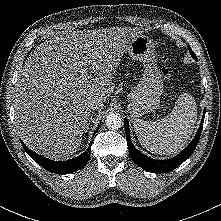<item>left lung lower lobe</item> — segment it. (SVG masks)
<instances>
[{"instance_id":"0a47b994","label":"left lung lower lobe","mask_w":221,"mask_h":221,"mask_svg":"<svg viewBox=\"0 0 221 221\" xmlns=\"http://www.w3.org/2000/svg\"><path fill=\"white\" fill-rule=\"evenodd\" d=\"M204 117H205V111H204L200 128L198 132L196 133L195 138L188 145V147H186L181 153H179L174 158L167 159V160H155L139 152L132 144V141L130 138L129 122L127 119H124L126 139H127L129 153H130L132 160L143 169L150 171L152 173H167L175 169L177 166L183 163L189 156H191V154L195 150L198 144V141L200 139L201 131L203 128Z\"/></svg>"}]
</instances>
